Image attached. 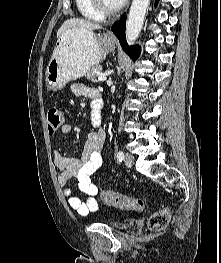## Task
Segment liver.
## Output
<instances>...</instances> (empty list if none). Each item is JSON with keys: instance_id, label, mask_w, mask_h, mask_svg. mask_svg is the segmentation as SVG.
<instances>
[{"instance_id": "obj_1", "label": "liver", "mask_w": 221, "mask_h": 263, "mask_svg": "<svg viewBox=\"0 0 221 263\" xmlns=\"http://www.w3.org/2000/svg\"><path fill=\"white\" fill-rule=\"evenodd\" d=\"M101 26L90 21L78 18H70L66 20L57 32V37L59 38L65 31L69 29H81L87 31H93L100 29Z\"/></svg>"}]
</instances>
